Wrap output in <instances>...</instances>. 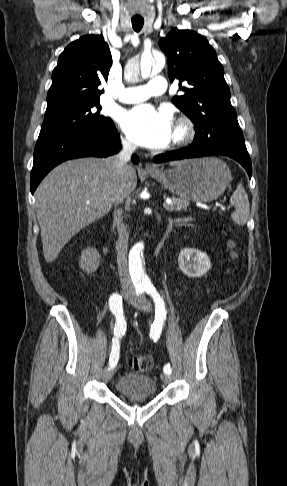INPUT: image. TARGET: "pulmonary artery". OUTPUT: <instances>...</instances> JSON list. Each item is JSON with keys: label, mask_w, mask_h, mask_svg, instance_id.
<instances>
[{"label": "pulmonary artery", "mask_w": 287, "mask_h": 486, "mask_svg": "<svg viewBox=\"0 0 287 486\" xmlns=\"http://www.w3.org/2000/svg\"><path fill=\"white\" fill-rule=\"evenodd\" d=\"M166 80L163 77H154L146 85L124 88L118 95L123 103H137L151 96H158L165 92Z\"/></svg>", "instance_id": "1"}]
</instances>
